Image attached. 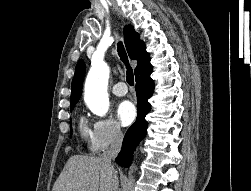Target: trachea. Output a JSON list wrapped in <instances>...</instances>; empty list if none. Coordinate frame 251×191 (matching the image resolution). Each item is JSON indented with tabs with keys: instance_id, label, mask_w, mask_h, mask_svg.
<instances>
[{
	"instance_id": "3493384b",
	"label": "trachea",
	"mask_w": 251,
	"mask_h": 191,
	"mask_svg": "<svg viewBox=\"0 0 251 191\" xmlns=\"http://www.w3.org/2000/svg\"><path fill=\"white\" fill-rule=\"evenodd\" d=\"M118 55L120 56V59L124 62L126 66V81L130 86L134 85V75H133V70L129 64L128 57L126 54V51L124 49V46L122 42H118V47H117Z\"/></svg>"
}]
</instances>
